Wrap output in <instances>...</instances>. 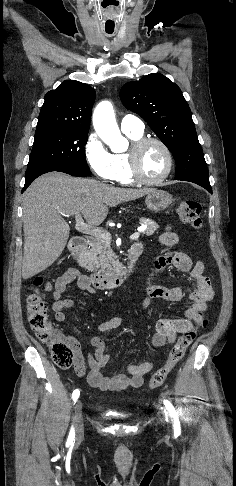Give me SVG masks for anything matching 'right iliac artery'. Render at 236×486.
<instances>
[{
    "label": "right iliac artery",
    "instance_id": "82829eb1",
    "mask_svg": "<svg viewBox=\"0 0 236 486\" xmlns=\"http://www.w3.org/2000/svg\"><path fill=\"white\" fill-rule=\"evenodd\" d=\"M79 395H80L79 390L78 389L74 390V392L72 394V399H73L74 402H76ZM74 437H75V432H74V428L72 427L71 430H70L69 436H68V441L73 442Z\"/></svg>",
    "mask_w": 236,
    "mask_h": 486
}]
</instances>
